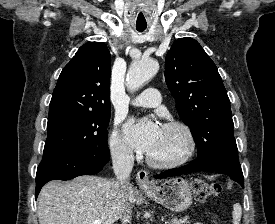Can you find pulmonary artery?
I'll list each match as a JSON object with an SVG mask.
<instances>
[{"label": "pulmonary artery", "instance_id": "e3ab8cb5", "mask_svg": "<svg viewBox=\"0 0 275 224\" xmlns=\"http://www.w3.org/2000/svg\"><path fill=\"white\" fill-rule=\"evenodd\" d=\"M160 103V92L155 88H147L132 100V104L140 107H156Z\"/></svg>", "mask_w": 275, "mask_h": 224}]
</instances>
